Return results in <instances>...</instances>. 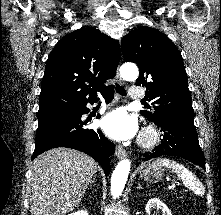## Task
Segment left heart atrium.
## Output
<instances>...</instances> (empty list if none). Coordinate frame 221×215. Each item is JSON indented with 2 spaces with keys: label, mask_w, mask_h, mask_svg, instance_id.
<instances>
[{
  "label": "left heart atrium",
  "mask_w": 221,
  "mask_h": 215,
  "mask_svg": "<svg viewBox=\"0 0 221 215\" xmlns=\"http://www.w3.org/2000/svg\"><path fill=\"white\" fill-rule=\"evenodd\" d=\"M101 127L109 137L116 140L130 139L138 130L136 119L122 108L108 113L102 119Z\"/></svg>",
  "instance_id": "obj_1"
}]
</instances>
